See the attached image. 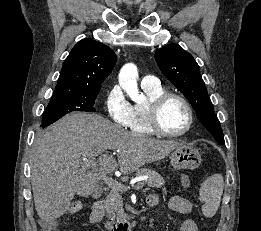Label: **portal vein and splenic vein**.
<instances>
[{
	"label": "portal vein and splenic vein",
	"mask_w": 261,
	"mask_h": 231,
	"mask_svg": "<svg viewBox=\"0 0 261 231\" xmlns=\"http://www.w3.org/2000/svg\"><path fill=\"white\" fill-rule=\"evenodd\" d=\"M88 166L93 167V168H97L98 163L94 159H91V160L88 161ZM147 178L148 177H144L142 179H139L140 182H138L135 186H133V189L139 190V189L143 188L144 187V181H142V180L147 179ZM102 179L105 182V184H107L113 190H119V191H126L127 190V187H125L120 182H118L117 180H115L111 177H108V176L102 174Z\"/></svg>",
	"instance_id": "1"
}]
</instances>
